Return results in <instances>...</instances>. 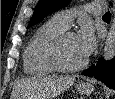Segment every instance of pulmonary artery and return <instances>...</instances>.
<instances>
[{"label":"pulmonary artery","instance_id":"pulmonary-artery-1","mask_svg":"<svg viewBox=\"0 0 115 99\" xmlns=\"http://www.w3.org/2000/svg\"><path fill=\"white\" fill-rule=\"evenodd\" d=\"M85 11L94 15L105 12V6L103 1H93L86 8ZM76 12L72 10L57 12L52 20L59 26L67 29L71 25Z\"/></svg>","mask_w":115,"mask_h":99}]
</instances>
